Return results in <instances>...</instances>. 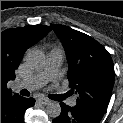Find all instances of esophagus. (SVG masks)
Instances as JSON below:
<instances>
[{"label":"esophagus","mask_w":123,"mask_h":123,"mask_svg":"<svg viewBox=\"0 0 123 123\" xmlns=\"http://www.w3.org/2000/svg\"><path fill=\"white\" fill-rule=\"evenodd\" d=\"M39 102L44 104V105H47L49 104L51 101L47 98H39Z\"/></svg>","instance_id":"34e87169"}]
</instances>
